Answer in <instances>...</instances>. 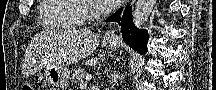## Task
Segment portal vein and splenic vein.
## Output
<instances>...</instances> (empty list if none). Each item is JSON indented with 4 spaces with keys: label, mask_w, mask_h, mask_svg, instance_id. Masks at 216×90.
<instances>
[{
    "label": "portal vein and splenic vein",
    "mask_w": 216,
    "mask_h": 90,
    "mask_svg": "<svg viewBox=\"0 0 216 90\" xmlns=\"http://www.w3.org/2000/svg\"><path fill=\"white\" fill-rule=\"evenodd\" d=\"M87 84H83V88H86Z\"/></svg>",
    "instance_id": "1"
}]
</instances>
